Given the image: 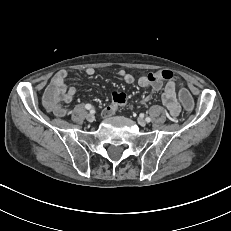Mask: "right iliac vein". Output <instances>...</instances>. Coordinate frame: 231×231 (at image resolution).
<instances>
[{"label":"right iliac vein","mask_w":231,"mask_h":231,"mask_svg":"<svg viewBox=\"0 0 231 231\" xmlns=\"http://www.w3.org/2000/svg\"><path fill=\"white\" fill-rule=\"evenodd\" d=\"M86 119H87V121H89V122H93V121L95 120V116H94L92 113H88V114L86 115Z\"/></svg>","instance_id":"obj_1"}]
</instances>
